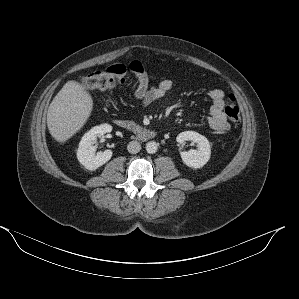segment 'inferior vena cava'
Instances as JSON below:
<instances>
[{"mask_svg":"<svg viewBox=\"0 0 299 299\" xmlns=\"http://www.w3.org/2000/svg\"><path fill=\"white\" fill-rule=\"evenodd\" d=\"M127 150L131 154H136L141 150V145L138 141H131L127 146Z\"/></svg>","mask_w":299,"mask_h":299,"instance_id":"1","label":"inferior vena cava"}]
</instances>
